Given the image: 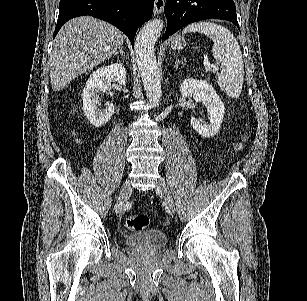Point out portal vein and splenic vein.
Listing matches in <instances>:
<instances>
[{
    "instance_id": "portal-vein-and-splenic-vein-1",
    "label": "portal vein and splenic vein",
    "mask_w": 307,
    "mask_h": 301,
    "mask_svg": "<svg viewBox=\"0 0 307 301\" xmlns=\"http://www.w3.org/2000/svg\"><path fill=\"white\" fill-rule=\"evenodd\" d=\"M203 64H204V68H206V70H209V68H217V64H211V62H209V60H204Z\"/></svg>"
}]
</instances>
